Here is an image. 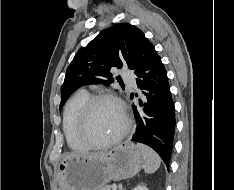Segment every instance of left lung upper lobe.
I'll use <instances>...</instances> for the list:
<instances>
[{
  "label": "left lung upper lobe",
  "mask_w": 234,
  "mask_h": 190,
  "mask_svg": "<svg viewBox=\"0 0 234 190\" xmlns=\"http://www.w3.org/2000/svg\"><path fill=\"white\" fill-rule=\"evenodd\" d=\"M144 39L146 37L143 32L129 23L115 24L102 30L86 47L77 52L68 66L61 87L60 108L70 94L81 86L114 82L111 67L127 66L132 70Z\"/></svg>",
  "instance_id": "1"
}]
</instances>
